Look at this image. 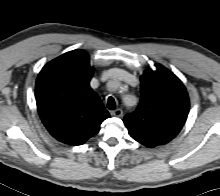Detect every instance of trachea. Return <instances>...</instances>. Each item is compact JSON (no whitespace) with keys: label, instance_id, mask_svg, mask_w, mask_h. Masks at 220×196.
<instances>
[{"label":"trachea","instance_id":"3493384b","mask_svg":"<svg viewBox=\"0 0 220 196\" xmlns=\"http://www.w3.org/2000/svg\"><path fill=\"white\" fill-rule=\"evenodd\" d=\"M107 107L110 110H114L116 108V103L113 97L108 98Z\"/></svg>","mask_w":220,"mask_h":196}]
</instances>
